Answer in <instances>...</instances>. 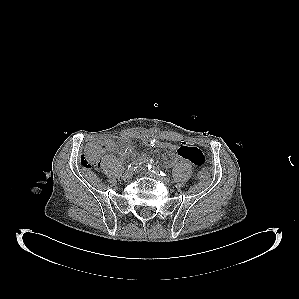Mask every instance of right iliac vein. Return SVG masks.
<instances>
[{"label": "right iliac vein", "mask_w": 299, "mask_h": 299, "mask_svg": "<svg viewBox=\"0 0 299 299\" xmlns=\"http://www.w3.org/2000/svg\"><path fill=\"white\" fill-rule=\"evenodd\" d=\"M133 176V172L132 171H126L123 175H122V179L124 181H130L131 178Z\"/></svg>", "instance_id": "63e3f726"}]
</instances>
